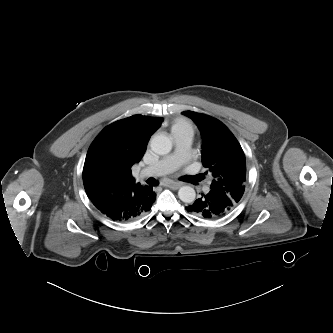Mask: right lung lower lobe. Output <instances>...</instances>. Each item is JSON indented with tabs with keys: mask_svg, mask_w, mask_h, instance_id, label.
<instances>
[{
	"mask_svg": "<svg viewBox=\"0 0 333 333\" xmlns=\"http://www.w3.org/2000/svg\"><path fill=\"white\" fill-rule=\"evenodd\" d=\"M94 206L114 221H132L150 210L156 193L152 187L136 185L91 193L88 195Z\"/></svg>",
	"mask_w": 333,
	"mask_h": 333,
	"instance_id": "right-lung-lower-lobe-1",
	"label": "right lung lower lobe"
}]
</instances>
